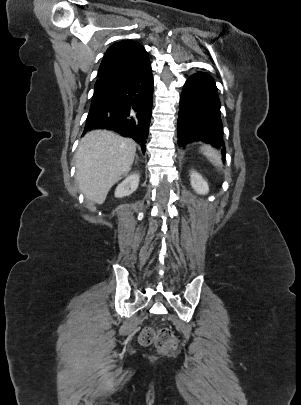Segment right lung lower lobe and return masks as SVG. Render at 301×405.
Here are the masks:
<instances>
[{"label": "right lung lower lobe", "mask_w": 301, "mask_h": 405, "mask_svg": "<svg viewBox=\"0 0 301 405\" xmlns=\"http://www.w3.org/2000/svg\"><path fill=\"white\" fill-rule=\"evenodd\" d=\"M153 77L149 58L124 82L91 108L84 132L114 130L146 149L152 113Z\"/></svg>", "instance_id": "1"}]
</instances>
